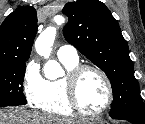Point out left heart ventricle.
Segmentation results:
<instances>
[{
	"instance_id": "obj_1",
	"label": "left heart ventricle",
	"mask_w": 145,
	"mask_h": 124,
	"mask_svg": "<svg viewBox=\"0 0 145 124\" xmlns=\"http://www.w3.org/2000/svg\"><path fill=\"white\" fill-rule=\"evenodd\" d=\"M78 96L85 111L96 112L107 101V89L104 81L94 71H86L78 84Z\"/></svg>"
}]
</instances>
